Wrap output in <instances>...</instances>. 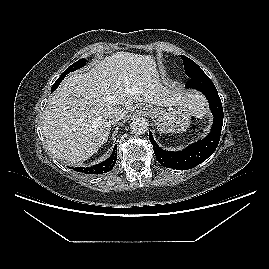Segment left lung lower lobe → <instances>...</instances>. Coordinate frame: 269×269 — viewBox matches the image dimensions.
I'll use <instances>...</instances> for the list:
<instances>
[{
	"label": "left lung lower lobe",
	"instance_id": "0a47b994",
	"mask_svg": "<svg viewBox=\"0 0 269 269\" xmlns=\"http://www.w3.org/2000/svg\"><path fill=\"white\" fill-rule=\"evenodd\" d=\"M186 87L199 90L206 96L209 102L214 121L211 131L206 138L191 144L182 151L171 152L161 149L155 142L152 133L149 132V139L153 145L157 161L167 168L179 170L194 168L213 154L220 140L224 117L218 92L207 75L190 79L186 83Z\"/></svg>",
	"mask_w": 269,
	"mask_h": 269
}]
</instances>
